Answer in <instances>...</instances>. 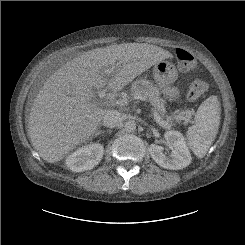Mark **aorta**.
Wrapping results in <instances>:
<instances>
[{"mask_svg":"<svg viewBox=\"0 0 245 245\" xmlns=\"http://www.w3.org/2000/svg\"><path fill=\"white\" fill-rule=\"evenodd\" d=\"M124 129L126 132H134L136 129L135 121L129 120L124 123Z\"/></svg>","mask_w":245,"mask_h":245,"instance_id":"1","label":"aorta"}]
</instances>
